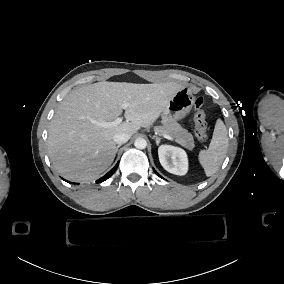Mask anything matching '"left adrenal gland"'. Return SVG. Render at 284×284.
<instances>
[{
	"instance_id": "left-adrenal-gland-1",
	"label": "left adrenal gland",
	"mask_w": 284,
	"mask_h": 284,
	"mask_svg": "<svg viewBox=\"0 0 284 284\" xmlns=\"http://www.w3.org/2000/svg\"><path fill=\"white\" fill-rule=\"evenodd\" d=\"M152 139H155V140H156V144H157V145H159L160 140H161V138H160V137H158V136L154 135V136L152 137Z\"/></svg>"
}]
</instances>
